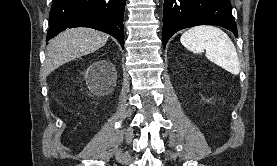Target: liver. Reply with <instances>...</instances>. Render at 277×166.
Returning <instances> with one entry per match:
<instances>
[{
	"label": "liver",
	"mask_w": 277,
	"mask_h": 166,
	"mask_svg": "<svg viewBox=\"0 0 277 166\" xmlns=\"http://www.w3.org/2000/svg\"><path fill=\"white\" fill-rule=\"evenodd\" d=\"M107 40L106 33L95 29L65 30L49 42L43 72L47 75L71 60L93 53L103 47Z\"/></svg>",
	"instance_id": "6515ba94"
}]
</instances>
